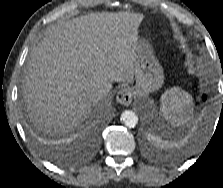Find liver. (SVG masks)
<instances>
[{
	"label": "liver",
	"instance_id": "1",
	"mask_svg": "<svg viewBox=\"0 0 223 188\" xmlns=\"http://www.w3.org/2000/svg\"><path fill=\"white\" fill-rule=\"evenodd\" d=\"M143 19L127 11L83 15L52 27L32 48L22 91L40 128L67 132L91 112V89L133 82L136 31Z\"/></svg>",
	"mask_w": 223,
	"mask_h": 188
}]
</instances>
